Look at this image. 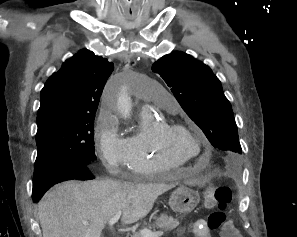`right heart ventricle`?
<instances>
[{
    "label": "right heart ventricle",
    "instance_id": "e07e8e85",
    "mask_svg": "<svg viewBox=\"0 0 297 237\" xmlns=\"http://www.w3.org/2000/svg\"><path fill=\"white\" fill-rule=\"evenodd\" d=\"M141 123V129L127 142V166L132 173L138 176L164 175L183 167L185 163L163 156L155 146V132L165 119L142 111Z\"/></svg>",
    "mask_w": 297,
    "mask_h": 237
}]
</instances>
